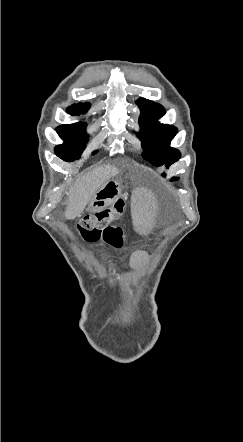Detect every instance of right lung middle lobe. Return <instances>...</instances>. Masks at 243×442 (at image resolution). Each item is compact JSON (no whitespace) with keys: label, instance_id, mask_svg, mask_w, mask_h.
<instances>
[{"label":"right lung middle lobe","instance_id":"right-lung-middle-lobe-1","mask_svg":"<svg viewBox=\"0 0 243 442\" xmlns=\"http://www.w3.org/2000/svg\"><path fill=\"white\" fill-rule=\"evenodd\" d=\"M64 144L55 148V153L64 161L71 162L80 157L87 143L86 124H64L56 128Z\"/></svg>","mask_w":243,"mask_h":442}]
</instances>
